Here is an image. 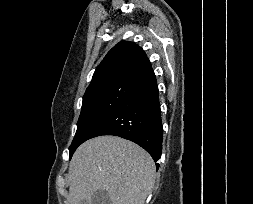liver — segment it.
I'll list each match as a JSON object with an SVG mask.
<instances>
[{"label": "liver", "instance_id": "1", "mask_svg": "<svg viewBox=\"0 0 253 204\" xmlns=\"http://www.w3.org/2000/svg\"><path fill=\"white\" fill-rule=\"evenodd\" d=\"M155 175V163L143 148L118 136H99L72 157L67 204H91L97 190H105L111 204H144Z\"/></svg>", "mask_w": 253, "mask_h": 204}]
</instances>
